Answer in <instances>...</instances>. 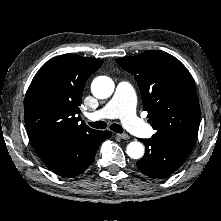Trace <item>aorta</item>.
<instances>
[{"mask_svg":"<svg viewBox=\"0 0 221 221\" xmlns=\"http://www.w3.org/2000/svg\"><path fill=\"white\" fill-rule=\"evenodd\" d=\"M114 82L107 76L95 78L91 85L92 94L98 99L110 97L114 91ZM128 156L133 159H140L144 155V146L140 142H131L126 150Z\"/></svg>","mask_w":221,"mask_h":221,"instance_id":"obj_1","label":"aorta"}]
</instances>
